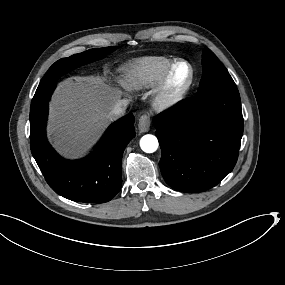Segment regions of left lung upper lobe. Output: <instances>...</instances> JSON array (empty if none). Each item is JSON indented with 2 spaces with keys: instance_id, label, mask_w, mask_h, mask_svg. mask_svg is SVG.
<instances>
[{
  "instance_id": "left-lung-upper-lobe-1",
  "label": "left lung upper lobe",
  "mask_w": 285,
  "mask_h": 285,
  "mask_svg": "<svg viewBox=\"0 0 285 285\" xmlns=\"http://www.w3.org/2000/svg\"><path fill=\"white\" fill-rule=\"evenodd\" d=\"M202 58L203 75L199 84L200 88L212 89L236 86L228 70L211 50L205 49Z\"/></svg>"
}]
</instances>
